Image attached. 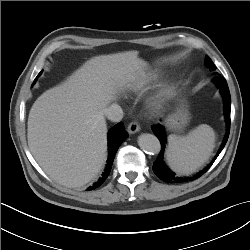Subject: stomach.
Returning a JSON list of instances; mask_svg holds the SVG:
<instances>
[{
  "instance_id": "stomach-1",
  "label": "stomach",
  "mask_w": 250,
  "mask_h": 250,
  "mask_svg": "<svg viewBox=\"0 0 250 250\" xmlns=\"http://www.w3.org/2000/svg\"><path fill=\"white\" fill-rule=\"evenodd\" d=\"M189 119V113L183 105L167 118L166 125L170 130H181L187 125Z\"/></svg>"
}]
</instances>
